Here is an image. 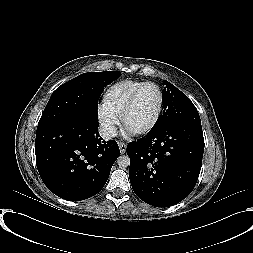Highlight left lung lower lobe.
<instances>
[{
	"mask_svg": "<svg viewBox=\"0 0 253 253\" xmlns=\"http://www.w3.org/2000/svg\"><path fill=\"white\" fill-rule=\"evenodd\" d=\"M204 151L201 124H178L127 146L129 178L135 194L156 207L186 198L197 182Z\"/></svg>",
	"mask_w": 253,
	"mask_h": 253,
	"instance_id": "0a47b994",
	"label": "left lung lower lobe"
}]
</instances>
